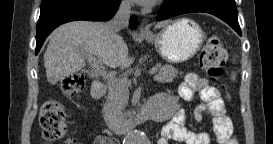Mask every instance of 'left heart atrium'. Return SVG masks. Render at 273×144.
I'll use <instances>...</instances> for the list:
<instances>
[{"label":"left heart atrium","instance_id":"39dd6f15","mask_svg":"<svg viewBox=\"0 0 273 144\" xmlns=\"http://www.w3.org/2000/svg\"><path fill=\"white\" fill-rule=\"evenodd\" d=\"M138 3H140L141 5H145V6H151L154 5L156 0H136Z\"/></svg>","mask_w":273,"mask_h":144}]
</instances>
